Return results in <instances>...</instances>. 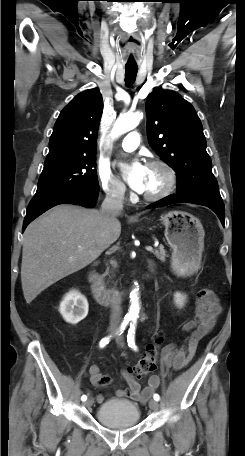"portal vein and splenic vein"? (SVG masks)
Instances as JSON below:
<instances>
[{
	"label": "portal vein and splenic vein",
	"instance_id": "obj_1",
	"mask_svg": "<svg viewBox=\"0 0 245 456\" xmlns=\"http://www.w3.org/2000/svg\"><path fill=\"white\" fill-rule=\"evenodd\" d=\"M145 249H146L147 251H149V252H152V251H153V247H151V246H146Z\"/></svg>",
	"mask_w": 245,
	"mask_h": 456
}]
</instances>
